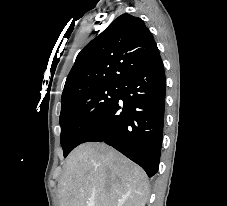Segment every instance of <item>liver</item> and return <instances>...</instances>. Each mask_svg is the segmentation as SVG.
<instances>
[{
    "label": "liver",
    "mask_w": 227,
    "mask_h": 206,
    "mask_svg": "<svg viewBox=\"0 0 227 206\" xmlns=\"http://www.w3.org/2000/svg\"><path fill=\"white\" fill-rule=\"evenodd\" d=\"M59 206H145L144 170L104 143L87 142L68 156L58 183Z\"/></svg>",
    "instance_id": "liver-1"
}]
</instances>
